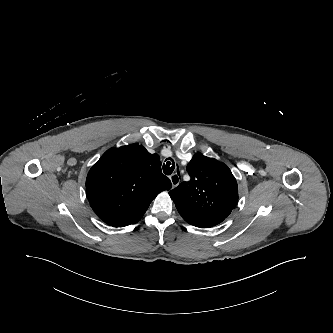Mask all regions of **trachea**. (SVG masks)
I'll use <instances>...</instances> for the list:
<instances>
[{"label":"trachea","mask_w":333,"mask_h":333,"mask_svg":"<svg viewBox=\"0 0 333 333\" xmlns=\"http://www.w3.org/2000/svg\"><path fill=\"white\" fill-rule=\"evenodd\" d=\"M165 161H166V163L163 164V172L166 175H171L175 169L174 160L172 158H168ZM177 169H178V167H177Z\"/></svg>","instance_id":"obj_1"}]
</instances>
